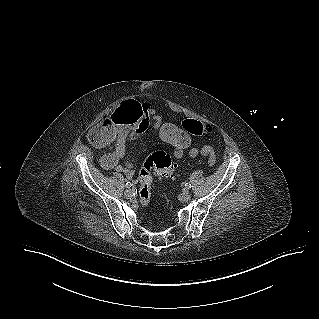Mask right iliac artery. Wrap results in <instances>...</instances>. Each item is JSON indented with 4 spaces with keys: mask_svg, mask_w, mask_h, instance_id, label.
Masks as SVG:
<instances>
[{
    "mask_svg": "<svg viewBox=\"0 0 319 319\" xmlns=\"http://www.w3.org/2000/svg\"><path fill=\"white\" fill-rule=\"evenodd\" d=\"M132 186V183L131 182H127L126 183V188H130Z\"/></svg>",
    "mask_w": 319,
    "mask_h": 319,
    "instance_id": "right-iliac-artery-1",
    "label": "right iliac artery"
}]
</instances>
